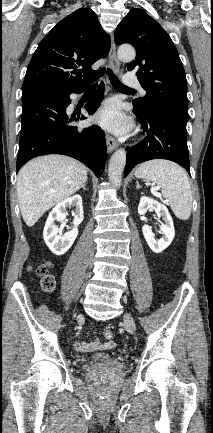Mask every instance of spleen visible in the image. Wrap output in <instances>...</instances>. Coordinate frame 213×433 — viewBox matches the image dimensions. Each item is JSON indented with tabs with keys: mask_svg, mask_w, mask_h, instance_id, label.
I'll list each match as a JSON object with an SVG mask.
<instances>
[{
	"mask_svg": "<svg viewBox=\"0 0 213 433\" xmlns=\"http://www.w3.org/2000/svg\"><path fill=\"white\" fill-rule=\"evenodd\" d=\"M135 176L160 186L175 216L181 220L189 219L192 191L187 174L179 165L166 160H151L141 164Z\"/></svg>",
	"mask_w": 213,
	"mask_h": 433,
	"instance_id": "1",
	"label": "spleen"
}]
</instances>
